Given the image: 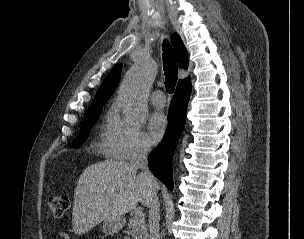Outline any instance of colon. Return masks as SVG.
<instances>
[{
  "label": "colon",
  "mask_w": 304,
  "mask_h": 239,
  "mask_svg": "<svg viewBox=\"0 0 304 239\" xmlns=\"http://www.w3.org/2000/svg\"><path fill=\"white\" fill-rule=\"evenodd\" d=\"M48 206L53 216L60 218L69 208V199L66 196L53 195L48 199Z\"/></svg>",
  "instance_id": "obj_1"
}]
</instances>
